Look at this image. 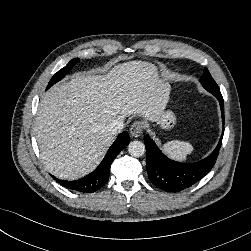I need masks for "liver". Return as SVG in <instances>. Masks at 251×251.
I'll list each match as a JSON object with an SVG mask.
<instances>
[{
    "label": "liver",
    "instance_id": "1",
    "mask_svg": "<svg viewBox=\"0 0 251 251\" xmlns=\"http://www.w3.org/2000/svg\"><path fill=\"white\" fill-rule=\"evenodd\" d=\"M170 88L157 66L121 63L103 75L76 73L42 97L35 121L41 158L54 176L79 179L93 171L113 143L114 120L140 115L157 122Z\"/></svg>",
    "mask_w": 251,
    "mask_h": 251
}]
</instances>
